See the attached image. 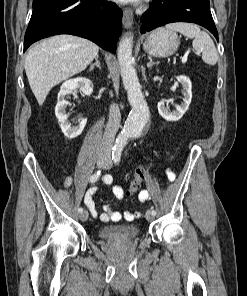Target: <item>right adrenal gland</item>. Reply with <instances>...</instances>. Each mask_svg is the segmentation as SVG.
I'll return each mask as SVG.
<instances>
[{
  "mask_svg": "<svg viewBox=\"0 0 247 296\" xmlns=\"http://www.w3.org/2000/svg\"><path fill=\"white\" fill-rule=\"evenodd\" d=\"M95 67H98L99 69H101V66H100V62H99V55H97L95 57V63L94 64H91L90 66V71H92Z\"/></svg>",
  "mask_w": 247,
  "mask_h": 296,
  "instance_id": "1",
  "label": "right adrenal gland"
}]
</instances>
